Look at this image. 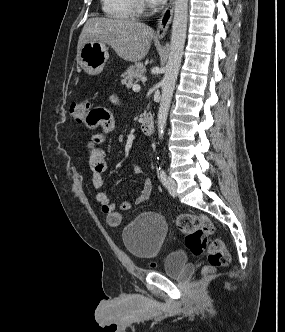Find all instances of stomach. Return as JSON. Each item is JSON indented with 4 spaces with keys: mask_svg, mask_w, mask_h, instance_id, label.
Instances as JSON below:
<instances>
[{
    "mask_svg": "<svg viewBox=\"0 0 285 332\" xmlns=\"http://www.w3.org/2000/svg\"><path fill=\"white\" fill-rule=\"evenodd\" d=\"M108 57V47L105 43L89 41L81 48L77 60L86 73L98 75L102 72Z\"/></svg>",
    "mask_w": 285,
    "mask_h": 332,
    "instance_id": "0dacf381",
    "label": "stomach"
}]
</instances>
